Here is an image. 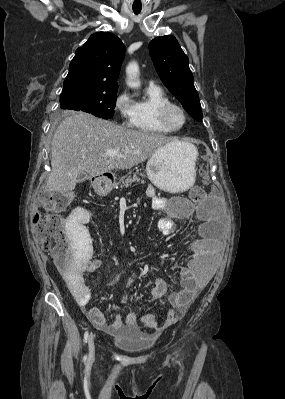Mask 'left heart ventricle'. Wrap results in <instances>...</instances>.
Returning <instances> with one entry per match:
<instances>
[{
    "label": "left heart ventricle",
    "mask_w": 285,
    "mask_h": 399,
    "mask_svg": "<svg viewBox=\"0 0 285 399\" xmlns=\"http://www.w3.org/2000/svg\"><path fill=\"white\" fill-rule=\"evenodd\" d=\"M171 120L174 124L180 125L182 123V116L177 110H173L171 113Z\"/></svg>",
    "instance_id": "b2bd125f"
}]
</instances>
